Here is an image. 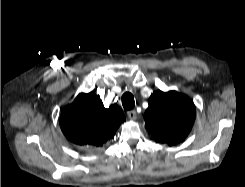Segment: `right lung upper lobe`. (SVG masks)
Here are the masks:
<instances>
[{"label": "right lung upper lobe", "mask_w": 245, "mask_h": 187, "mask_svg": "<svg viewBox=\"0 0 245 187\" xmlns=\"http://www.w3.org/2000/svg\"><path fill=\"white\" fill-rule=\"evenodd\" d=\"M125 121L117 105L105 108L101 99L93 92L82 93L60 115V127L64 135L81 148L103 146Z\"/></svg>", "instance_id": "1"}]
</instances>
